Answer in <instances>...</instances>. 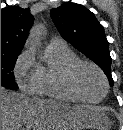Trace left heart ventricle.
<instances>
[{"instance_id":"left-heart-ventricle-1","label":"left heart ventricle","mask_w":123,"mask_h":130,"mask_svg":"<svg viewBox=\"0 0 123 130\" xmlns=\"http://www.w3.org/2000/svg\"><path fill=\"white\" fill-rule=\"evenodd\" d=\"M75 84L80 93L91 100L99 99L105 89L100 75L90 67H81L76 72Z\"/></svg>"}]
</instances>
